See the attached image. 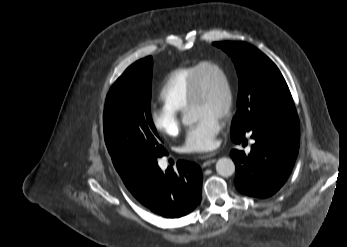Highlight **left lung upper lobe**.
Wrapping results in <instances>:
<instances>
[{"mask_svg": "<svg viewBox=\"0 0 347 247\" xmlns=\"http://www.w3.org/2000/svg\"><path fill=\"white\" fill-rule=\"evenodd\" d=\"M233 60L238 78V108L231 134L247 131L272 115H295L289 88L277 66L261 51L244 42H215Z\"/></svg>", "mask_w": 347, "mask_h": 247, "instance_id": "1", "label": "left lung upper lobe"}]
</instances>
